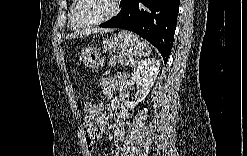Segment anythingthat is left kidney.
<instances>
[{
    "mask_svg": "<svg viewBox=\"0 0 247 156\" xmlns=\"http://www.w3.org/2000/svg\"><path fill=\"white\" fill-rule=\"evenodd\" d=\"M160 62L156 58H147L139 61L132 72V80L139 87L136 101H131L127 105L130 109L144 101L150 89L154 85L159 72Z\"/></svg>",
    "mask_w": 247,
    "mask_h": 156,
    "instance_id": "left-kidney-1",
    "label": "left kidney"
}]
</instances>
